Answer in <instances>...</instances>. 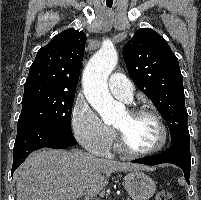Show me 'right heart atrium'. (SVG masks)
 I'll return each mask as SVG.
<instances>
[{
	"instance_id": "d8ad5b80",
	"label": "right heart atrium",
	"mask_w": 201,
	"mask_h": 200,
	"mask_svg": "<svg viewBox=\"0 0 201 200\" xmlns=\"http://www.w3.org/2000/svg\"><path fill=\"white\" fill-rule=\"evenodd\" d=\"M72 129L77 141L89 152L106 156L114 141V131L105 125L85 102H78L72 112Z\"/></svg>"
}]
</instances>
